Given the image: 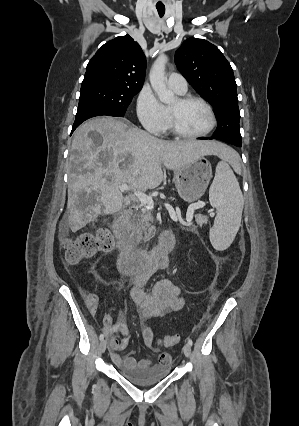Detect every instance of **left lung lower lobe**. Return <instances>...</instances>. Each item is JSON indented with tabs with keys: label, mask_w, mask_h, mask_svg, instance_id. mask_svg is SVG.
Wrapping results in <instances>:
<instances>
[{
	"label": "left lung lower lobe",
	"mask_w": 299,
	"mask_h": 426,
	"mask_svg": "<svg viewBox=\"0 0 299 426\" xmlns=\"http://www.w3.org/2000/svg\"><path fill=\"white\" fill-rule=\"evenodd\" d=\"M198 139H212V138H208V137H201V138H198ZM230 144H232V143H230ZM235 146H237V145H235ZM238 147H240V146H238Z\"/></svg>",
	"instance_id": "0a47b994"
}]
</instances>
